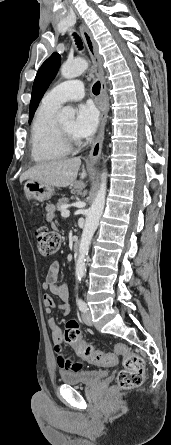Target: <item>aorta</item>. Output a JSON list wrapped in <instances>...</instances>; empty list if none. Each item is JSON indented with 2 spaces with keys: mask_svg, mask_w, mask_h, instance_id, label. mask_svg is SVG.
<instances>
[{
  "mask_svg": "<svg viewBox=\"0 0 171 445\" xmlns=\"http://www.w3.org/2000/svg\"><path fill=\"white\" fill-rule=\"evenodd\" d=\"M88 68V62L85 59L78 58L73 61H68L64 63L61 67V75L65 79H71L81 75ZM75 111L71 107H64L61 110L58 118L60 121H67L74 119ZM107 190V172L104 170L101 175V184L97 195L88 209L86 214L85 226L82 232L80 246H79V254L76 261L75 267V277L77 281H80L85 273H86V256L89 252V247L91 244L92 237L99 225V220L102 216L104 206H105V197Z\"/></svg>",
  "mask_w": 171,
  "mask_h": 445,
  "instance_id": "1",
  "label": "aorta"
}]
</instances>
